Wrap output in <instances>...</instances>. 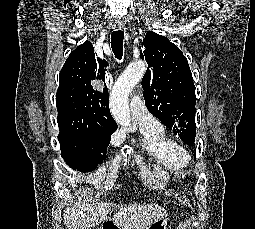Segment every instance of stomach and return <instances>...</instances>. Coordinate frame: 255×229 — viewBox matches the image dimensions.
Returning a JSON list of instances; mask_svg holds the SVG:
<instances>
[{"instance_id": "0dacf381", "label": "stomach", "mask_w": 255, "mask_h": 229, "mask_svg": "<svg viewBox=\"0 0 255 229\" xmlns=\"http://www.w3.org/2000/svg\"><path fill=\"white\" fill-rule=\"evenodd\" d=\"M106 222H110V221L103 222L101 229H103L104 226H106V224H108ZM167 222H168L167 217L163 216V217H160V218L154 220L145 229H167ZM111 223H113V222H111ZM113 226H114L113 227L114 229H122V227H120L114 223H113Z\"/></svg>"}]
</instances>
